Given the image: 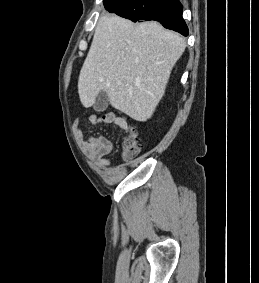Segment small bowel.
Wrapping results in <instances>:
<instances>
[{
  "label": "small bowel",
  "instance_id": "c3829d8e",
  "mask_svg": "<svg viewBox=\"0 0 259 283\" xmlns=\"http://www.w3.org/2000/svg\"><path fill=\"white\" fill-rule=\"evenodd\" d=\"M89 121L93 125H101L107 123H114L121 129H123L126 133L129 132V126L125 119L116 116L114 113H106L102 116H98L97 114H92L89 117ZM81 123L79 118L75 119L74 125L78 127ZM111 151V143L110 141L102 136H87V152L89 156L93 159L99 160L103 166L109 168L111 165V161L108 158V155ZM123 172V168H118L115 174L120 175Z\"/></svg>",
  "mask_w": 259,
  "mask_h": 283
}]
</instances>
